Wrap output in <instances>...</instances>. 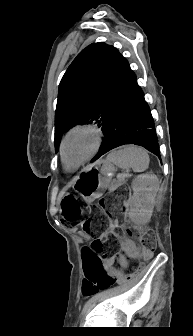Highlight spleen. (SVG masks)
<instances>
[{
	"label": "spleen",
	"instance_id": "1",
	"mask_svg": "<svg viewBox=\"0 0 193 336\" xmlns=\"http://www.w3.org/2000/svg\"><path fill=\"white\" fill-rule=\"evenodd\" d=\"M107 161L119 168H132L134 172H143L149 166V155L141 147L129 145L110 152Z\"/></svg>",
	"mask_w": 193,
	"mask_h": 336
}]
</instances>
